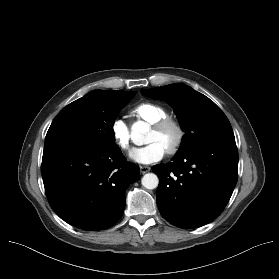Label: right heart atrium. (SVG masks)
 <instances>
[{"label":"right heart atrium","mask_w":279,"mask_h":279,"mask_svg":"<svg viewBox=\"0 0 279 279\" xmlns=\"http://www.w3.org/2000/svg\"><path fill=\"white\" fill-rule=\"evenodd\" d=\"M111 134L114 142L123 151L131 149V134L129 127L122 119H116L111 125Z\"/></svg>","instance_id":"1"}]
</instances>
